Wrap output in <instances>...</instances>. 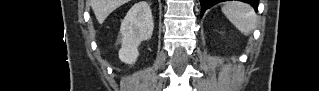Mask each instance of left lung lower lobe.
I'll use <instances>...</instances> for the list:
<instances>
[{"label":"left lung lower lobe","instance_id":"left-lung-lower-lobe-1","mask_svg":"<svg viewBox=\"0 0 319 91\" xmlns=\"http://www.w3.org/2000/svg\"><path fill=\"white\" fill-rule=\"evenodd\" d=\"M222 1H227V0H200L201 3V16H203L204 12L211 6L222 2ZM238 1H243L246 3L251 4L255 10H257L258 7V0H238Z\"/></svg>","mask_w":319,"mask_h":91}]
</instances>
